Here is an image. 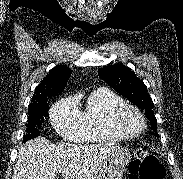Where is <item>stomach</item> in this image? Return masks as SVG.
I'll return each instance as SVG.
<instances>
[{
	"label": "stomach",
	"mask_w": 183,
	"mask_h": 179,
	"mask_svg": "<svg viewBox=\"0 0 183 179\" xmlns=\"http://www.w3.org/2000/svg\"><path fill=\"white\" fill-rule=\"evenodd\" d=\"M131 160L128 148L117 146L103 162L95 179H123L125 167Z\"/></svg>",
	"instance_id": "obj_1"
}]
</instances>
